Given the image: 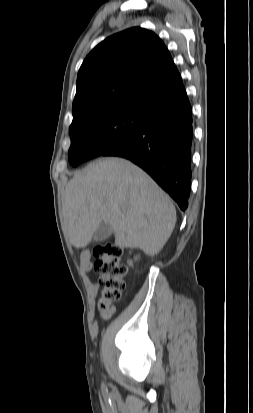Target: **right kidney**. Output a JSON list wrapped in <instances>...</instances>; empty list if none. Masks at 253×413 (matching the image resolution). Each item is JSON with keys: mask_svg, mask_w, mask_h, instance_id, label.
Returning a JSON list of instances; mask_svg holds the SVG:
<instances>
[{"mask_svg": "<svg viewBox=\"0 0 253 413\" xmlns=\"http://www.w3.org/2000/svg\"><path fill=\"white\" fill-rule=\"evenodd\" d=\"M136 260H138V256L135 257V261H136ZM128 264H129L130 266H132V265H133V262L130 260V261H128Z\"/></svg>", "mask_w": 253, "mask_h": 413, "instance_id": "obj_1", "label": "right kidney"}]
</instances>
